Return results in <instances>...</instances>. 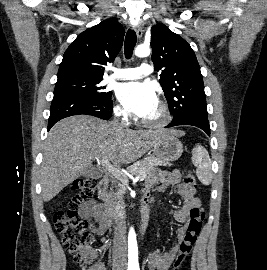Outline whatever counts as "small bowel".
Returning <instances> with one entry per match:
<instances>
[{
    "label": "small bowel",
    "instance_id": "c3829d8e",
    "mask_svg": "<svg viewBox=\"0 0 267 270\" xmlns=\"http://www.w3.org/2000/svg\"><path fill=\"white\" fill-rule=\"evenodd\" d=\"M154 188L158 192H165L167 189L172 188L182 198L180 208L172 211L174 219L181 224L176 230L177 242L169 250L157 249L150 256L153 269L167 270L179 250L192 213L196 210L202 211L201 201L196 196L194 188L181 182V174L177 170H159L151 175L146 180L145 197L150 199ZM79 215L88 223L90 231L94 236L103 235L111 226L105 208L95 201L84 203L79 208Z\"/></svg>",
    "mask_w": 267,
    "mask_h": 270
}]
</instances>
